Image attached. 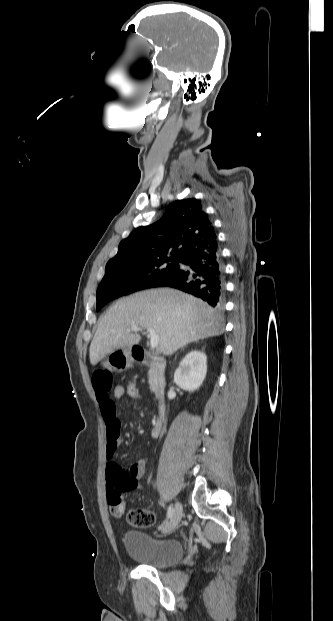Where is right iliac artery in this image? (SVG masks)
I'll list each match as a JSON object with an SVG mask.
<instances>
[{"label": "right iliac artery", "mask_w": 333, "mask_h": 621, "mask_svg": "<svg viewBox=\"0 0 333 621\" xmlns=\"http://www.w3.org/2000/svg\"><path fill=\"white\" fill-rule=\"evenodd\" d=\"M174 513V509L172 506H169L167 509V518H170Z\"/></svg>", "instance_id": "right-iliac-artery-1"}]
</instances>
